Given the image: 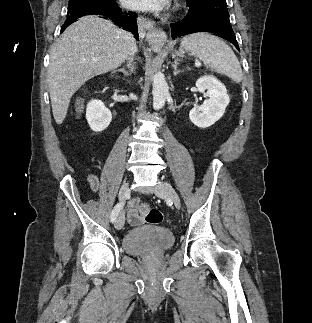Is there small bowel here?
<instances>
[{
    "instance_id": "c3829d8e",
    "label": "small bowel",
    "mask_w": 312,
    "mask_h": 323,
    "mask_svg": "<svg viewBox=\"0 0 312 323\" xmlns=\"http://www.w3.org/2000/svg\"><path fill=\"white\" fill-rule=\"evenodd\" d=\"M87 182L93 192L99 190L100 184L96 175L89 174L87 176ZM138 204L139 200L137 198H133L128 204L127 220L131 226H140L144 222L143 217L138 212Z\"/></svg>"
}]
</instances>
